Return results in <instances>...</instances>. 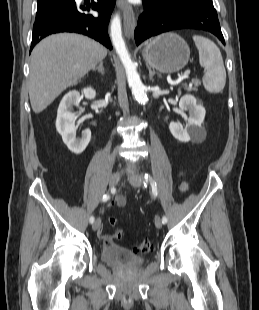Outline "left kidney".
<instances>
[{
	"label": "left kidney",
	"instance_id": "obj_1",
	"mask_svg": "<svg viewBox=\"0 0 259 310\" xmlns=\"http://www.w3.org/2000/svg\"><path fill=\"white\" fill-rule=\"evenodd\" d=\"M182 111H188L186 127L183 128L178 122H171L169 125L172 135L181 142L200 141L204 135L202 130V122L205 118V108L197 103L192 95H184L179 102Z\"/></svg>",
	"mask_w": 259,
	"mask_h": 310
}]
</instances>
